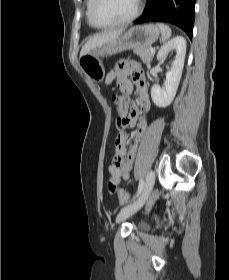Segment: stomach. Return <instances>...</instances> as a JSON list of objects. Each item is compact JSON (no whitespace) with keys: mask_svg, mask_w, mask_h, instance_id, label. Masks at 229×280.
<instances>
[{"mask_svg":"<svg viewBox=\"0 0 229 280\" xmlns=\"http://www.w3.org/2000/svg\"><path fill=\"white\" fill-rule=\"evenodd\" d=\"M160 35V30L153 24L138 25L101 46L91 50L79 60V65L87 77L95 82L104 79L105 69L102 58L128 49H148Z\"/></svg>","mask_w":229,"mask_h":280,"instance_id":"0dacf381","label":"stomach"}]
</instances>
